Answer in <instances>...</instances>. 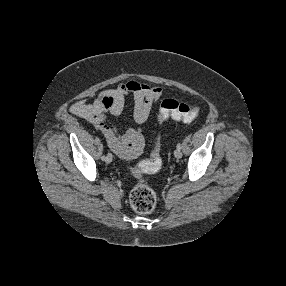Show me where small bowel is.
<instances>
[{"instance_id":"obj_1","label":"small bowel","mask_w":286,"mask_h":286,"mask_svg":"<svg viewBox=\"0 0 286 286\" xmlns=\"http://www.w3.org/2000/svg\"><path fill=\"white\" fill-rule=\"evenodd\" d=\"M160 86H151L131 79L103 92L93 102L78 100L71 105V112L93 124L105 137L110 149L123 159H133L140 155L144 146L143 125L149 118L153 105L162 97ZM134 101L133 118L139 125L119 133L107 115L120 116L125 99Z\"/></svg>"}]
</instances>
